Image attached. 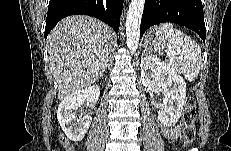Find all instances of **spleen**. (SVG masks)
<instances>
[{
	"mask_svg": "<svg viewBox=\"0 0 231 151\" xmlns=\"http://www.w3.org/2000/svg\"><path fill=\"white\" fill-rule=\"evenodd\" d=\"M159 30L167 40L169 66L177 65L187 80H195L200 72V46L184 32L175 29L172 24H162Z\"/></svg>",
	"mask_w": 231,
	"mask_h": 151,
	"instance_id": "3e777b00",
	"label": "spleen"
}]
</instances>
